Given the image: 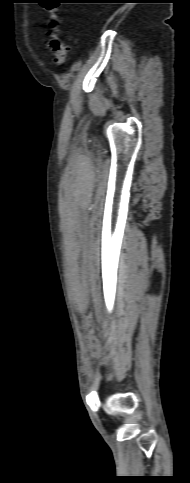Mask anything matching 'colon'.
Instances as JSON below:
<instances>
[{
    "mask_svg": "<svg viewBox=\"0 0 190 483\" xmlns=\"http://www.w3.org/2000/svg\"><path fill=\"white\" fill-rule=\"evenodd\" d=\"M54 12L47 24V30L50 35L48 41V51L52 56L53 63L57 66H61L65 63L68 55V46L63 39L62 31L60 28L59 16L55 13L56 9H52Z\"/></svg>",
    "mask_w": 190,
    "mask_h": 483,
    "instance_id": "5ec220e1",
    "label": "colon"
}]
</instances>
